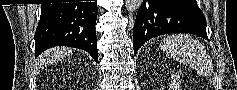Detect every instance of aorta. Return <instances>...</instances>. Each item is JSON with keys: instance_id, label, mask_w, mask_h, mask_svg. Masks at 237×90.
<instances>
[{"instance_id": "762f6f07", "label": "aorta", "mask_w": 237, "mask_h": 90, "mask_svg": "<svg viewBox=\"0 0 237 90\" xmlns=\"http://www.w3.org/2000/svg\"><path fill=\"white\" fill-rule=\"evenodd\" d=\"M143 0H126L125 8L127 12H137L139 10Z\"/></svg>"}]
</instances>
